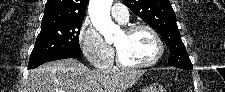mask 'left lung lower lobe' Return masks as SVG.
Wrapping results in <instances>:
<instances>
[{
    "instance_id": "0a47b994",
    "label": "left lung lower lobe",
    "mask_w": 225,
    "mask_h": 92,
    "mask_svg": "<svg viewBox=\"0 0 225 92\" xmlns=\"http://www.w3.org/2000/svg\"><path fill=\"white\" fill-rule=\"evenodd\" d=\"M175 67H178V68H181V69H184V70H191L193 67H187V66H175Z\"/></svg>"
}]
</instances>
